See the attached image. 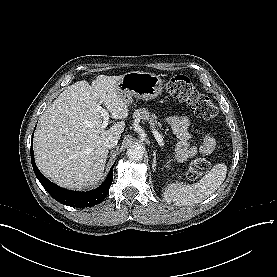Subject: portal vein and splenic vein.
Here are the masks:
<instances>
[{"instance_id":"18ae733b","label":"portal vein and splenic vein","mask_w":277,"mask_h":277,"mask_svg":"<svg viewBox=\"0 0 277 277\" xmlns=\"http://www.w3.org/2000/svg\"><path fill=\"white\" fill-rule=\"evenodd\" d=\"M97 111H99L101 113V115L103 116V122L101 124V128L105 129L108 125V121H109V114L108 112L103 109L101 106L97 107ZM153 135L156 139V141L158 142V144L162 147L164 146V142H163V138L162 136L159 134V132H157L155 129H152Z\"/></svg>"}]
</instances>
